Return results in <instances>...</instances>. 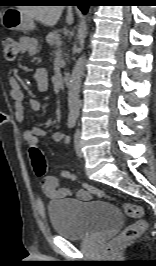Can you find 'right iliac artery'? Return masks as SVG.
Returning <instances> with one entry per match:
<instances>
[{"label":"right iliac artery","instance_id":"1","mask_svg":"<svg viewBox=\"0 0 156 266\" xmlns=\"http://www.w3.org/2000/svg\"><path fill=\"white\" fill-rule=\"evenodd\" d=\"M77 116L76 115H70L68 117V127L73 128L76 125Z\"/></svg>","mask_w":156,"mask_h":266}]
</instances>
